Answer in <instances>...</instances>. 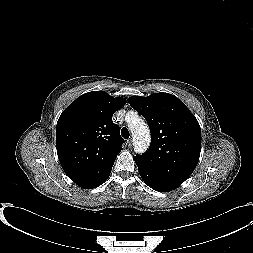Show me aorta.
<instances>
[{
    "instance_id": "762f6f07",
    "label": "aorta",
    "mask_w": 253,
    "mask_h": 253,
    "mask_svg": "<svg viewBox=\"0 0 253 253\" xmlns=\"http://www.w3.org/2000/svg\"><path fill=\"white\" fill-rule=\"evenodd\" d=\"M128 127L133 135L134 151L143 153L150 144V132L147 124L134 112L127 113Z\"/></svg>"
}]
</instances>
